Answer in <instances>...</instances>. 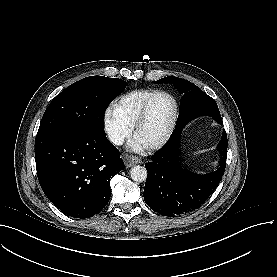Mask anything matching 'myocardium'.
<instances>
[{"label":"myocardium","mask_w":277,"mask_h":277,"mask_svg":"<svg viewBox=\"0 0 277 277\" xmlns=\"http://www.w3.org/2000/svg\"><path fill=\"white\" fill-rule=\"evenodd\" d=\"M156 96H165L167 98H169L172 102H173V105H174V109H173V114H172V118H171V121H170V124H169V127L165 133V135L158 141L154 142V143H143L139 140L138 138V130H139V127L146 115V112L148 110V107L151 103V101L156 97ZM177 117H178V104L175 100V98L169 94L168 92H165V91H156L154 92L146 101L144 107L142 108L139 116L137 117L136 121H135V124H134V127H133V134H132V137H133V140L135 142H138L141 144V146L145 149V150H154V149H157V148H160L161 146H163L168 140L169 138L171 137L172 133H173V130L175 128V124H176V121H177Z\"/></svg>","instance_id":"obj_1"}]
</instances>
